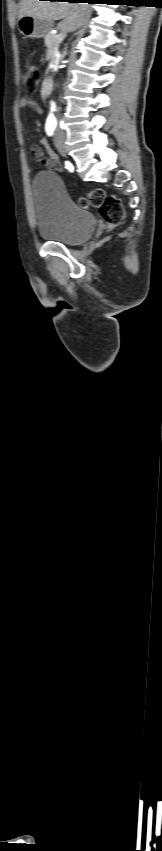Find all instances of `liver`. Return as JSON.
Returning <instances> with one entry per match:
<instances>
[{"label": "liver", "mask_w": 162, "mask_h": 851, "mask_svg": "<svg viewBox=\"0 0 162 851\" xmlns=\"http://www.w3.org/2000/svg\"><path fill=\"white\" fill-rule=\"evenodd\" d=\"M87 10L85 3L22 0L19 18L28 15L51 22L62 19L59 27L64 32H71L82 24Z\"/></svg>", "instance_id": "1"}]
</instances>
